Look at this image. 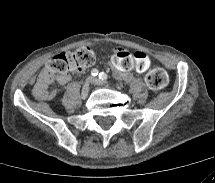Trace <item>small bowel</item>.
Returning <instances> with one entry per match:
<instances>
[{
    "instance_id": "small-bowel-1",
    "label": "small bowel",
    "mask_w": 215,
    "mask_h": 183,
    "mask_svg": "<svg viewBox=\"0 0 215 183\" xmlns=\"http://www.w3.org/2000/svg\"><path fill=\"white\" fill-rule=\"evenodd\" d=\"M110 66L118 79L129 80L131 76H140L148 71L150 67V58L148 54L142 50L125 51V49L121 47H116L111 56ZM43 75L44 70L38 75L33 84L32 94L37 100H52L57 96V91L48 90L53 80L44 81ZM70 81V74L57 79V82L61 85H65Z\"/></svg>"
}]
</instances>
